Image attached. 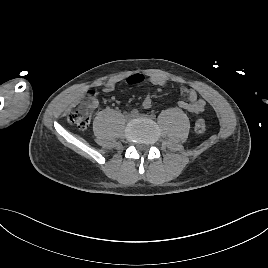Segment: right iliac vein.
Masks as SVG:
<instances>
[{
	"instance_id": "1",
	"label": "right iliac vein",
	"mask_w": 268,
	"mask_h": 268,
	"mask_svg": "<svg viewBox=\"0 0 268 268\" xmlns=\"http://www.w3.org/2000/svg\"><path fill=\"white\" fill-rule=\"evenodd\" d=\"M134 117L135 116L133 114H131V113H128V114L125 115V118H126L127 121H131L132 119H134Z\"/></svg>"
}]
</instances>
